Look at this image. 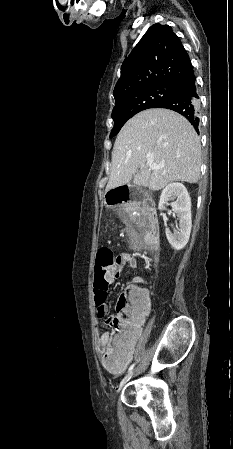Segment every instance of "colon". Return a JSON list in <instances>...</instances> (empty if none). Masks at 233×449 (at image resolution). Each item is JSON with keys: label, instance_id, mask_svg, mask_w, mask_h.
<instances>
[{"label": "colon", "instance_id": "1", "mask_svg": "<svg viewBox=\"0 0 233 449\" xmlns=\"http://www.w3.org/2000/svg\"><path fill=\"white\" fill-rule=\"evenodd\" d=\"M116 265L112 250L102 247L97 251L94 275L95 305L102 307L108 296L110 269ZM149 304L147 293L140 287L131 286L124 290L118 301V315L111 320L114 333L119 334L116 344L124 348L126 343L137 333L142 314ZM102 363L105 368L117 370L123 365V359L111 352L104 355Z\"/></svg>", "mask_w": 233, "mask_h": 449}]
</instances>
